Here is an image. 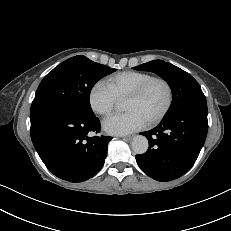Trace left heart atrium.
Masks as SVG:
<instances>
[{"label":"left heart atrium","instance_id":"1","mask_svg":"<svg viewBox=\"0 0 231 231\" xmlns=\"http://www.w3.org/2000/svg\"><path fill=\"white\" fill-rule=\"evenodd\" d=\"M148 120L138 111L114 114L103 121V129L111 135H126L144 128Z\"/></svg>","mask_w":231,"mask_h":231}]
</instances>
